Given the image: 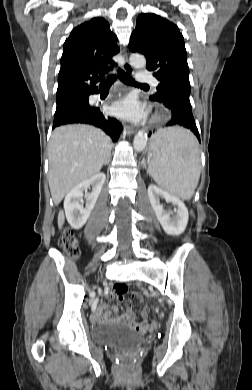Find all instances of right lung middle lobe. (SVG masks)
Instances as JSON below:
<instances>
[{"label": "right lung middle lobe", "instance_id": "right-lung-middle-lobe-1", "mask_svg": "<svg viewBox=\"0 0 252 390\" xmlns=\"http://www.w3.org/2000/svg\"><path fill=\"white\" fill-rule=\"evenodd\" d=\"M60 103H63V102H60ZM59 102H57V104H60Z\"/></svg>", "mask_w": 252, "mask_h": 390}]
</instances>
